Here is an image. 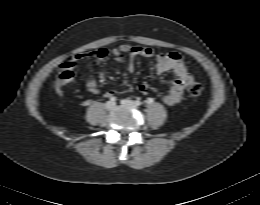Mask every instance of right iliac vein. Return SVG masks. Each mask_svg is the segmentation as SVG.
<instances>
[{
	"mask_svg": "<svg viewBox=\"0 0 260 205\" xmlns=\"http://www.w3.org/2000/svg\"><path fill=\"white\" fill-rule=\"evenodd\" d=\"M114 107H115V103H114V102L109 101V102H107V103L105 104V108H106L107 110H111V109H113Z\"/></svg>",
	"mask_w": 260,
	"mask_h": 205,
	"instance_id": "right-iliac-vein-1",
	"label": "right iliac vein"
}]
</instances>
